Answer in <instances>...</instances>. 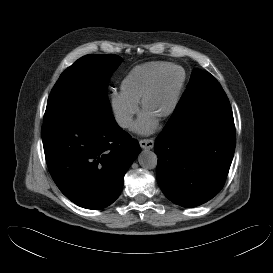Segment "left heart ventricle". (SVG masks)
<instances>
[{
  "label": "left heart ventricle",
  "instance_id": "b2bd125f",
  "mask_svg": "<svg viewBox=\"0 0 273 273\" xmlns=\"http://www.w3.org/2000/svg\"><path fill=\"white\" fill-rule=\"evenodd\" d=\"M179 80L180 75L176 71L169 72L162 77L149 97L145 111L154 117L164 114L173 102Z\"/></svg>",
  "mask_w": 273,
  "mask_h": 273
}]
</instances>
